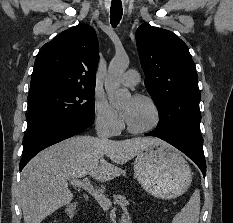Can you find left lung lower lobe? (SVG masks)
<instances>
[{"label": "left lung lower lobe", "instance_id": "0a47b994", "mask_svg": "<svg viewBox=\"0 0 233 223\" xmlns=\"http://www.w3.org/2000/svg\"><path fill=\"white\" fill-rule=\"evenodd\" d=\"M145 136H156L162 140L167 141L184 154H186L191 160H193L197 166L201 169L203 176L206 174V161L203 152V138L200 134L186 133V132H163L159 130H153L146 133Z\"/></svg>", "mask_w": 233, "mask_h": 223}]
</instances>
